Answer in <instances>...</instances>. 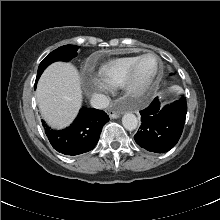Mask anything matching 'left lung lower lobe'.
<instances>
[{"label":"left lung lower lobe","mask_w":220,"mask_h":220,"mask_svg":"<svg viewBox=\"0 0 220 220\" xmlns=\"http://www.w3.org/2000/svg\"><path fill=\"white\" fill-rule=\"evenodd\" d=\"M141 127L134 135L136 143L148 151L163 153L178 142L185 123L187 104L184 97L162 108L156 98L140 111Z\"/></svg>","instance_id":"1"}]
</instances>
